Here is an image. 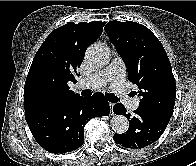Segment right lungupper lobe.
I'll list each match as a JSON object with an SVG mask.
<instances>
[{
    "label": "right lung upper lobe",
    "instance_id": "1",
    "mask_svg": "<svg viewBox=\"0 0 196 166\" xmlns=\"http://www.w3.org/2000/svg\"><path fill=\"white\" fill-rule=\"evenodd\" d=\"M104 25L101 21L70 22L50 33L37 51L25 81V114L79 96L67 83L75 82L87 47L100 37Z\"/></svg>",
    "mask_w": 196,
    "mask_h": 166
}]
</instances>
